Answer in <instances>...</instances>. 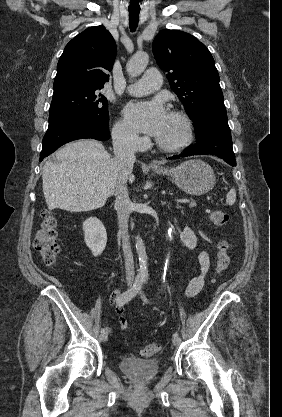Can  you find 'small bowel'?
Masks as SVG:
<instances>
[{"label":"small bowel","instance_id":"small-bowel-1","mask_svg":"<svg viewBox=\"0 0 282 417\" xmlns=\"http://www.w3.org/2000/svg\"><path fill=\"white\" fill-rule=\"evenodd\" d=\"M197 262L199 264V273L189 281L185 289V296L187 298L195 297L204 287L205 280L210 269V257L208 252L205 250L200 251L197 256ZM119 296L120 290H116L111 294L110 300L111 302L116 303L115 311L118 316L121 330L126 331L128 329V322L125 316L124 306L120 303H117ZM107 330L109 331V328H107Z\"/></svg>","mask_w":282,"mask_h":417}]
</instances>
